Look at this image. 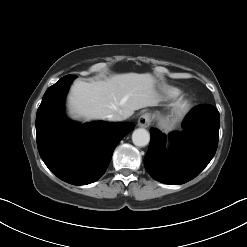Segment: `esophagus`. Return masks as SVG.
<instances>
[{"label":"esophagus","instance_id":"1","mask_svg":"<svg viewBox=\"0 0 247 247\" xmlns=\"http://www.w3.org/2000/svg\"><path fill=\"white\" fill-rule=\"evenodd\" d=\"M151 123V115L149 113L142 114L138 119V126L147 128Z\"/></svg>","mask_w":247,"mask_h":247}]
</instances>
